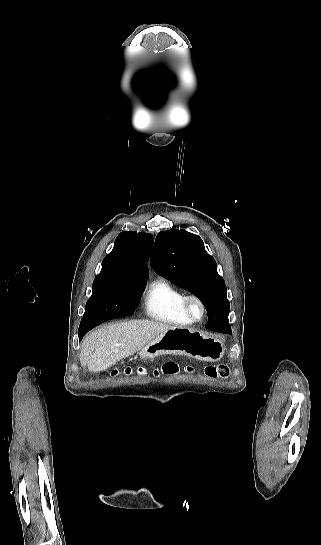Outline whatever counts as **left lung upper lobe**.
I'll list each match as a JSON object with an SVG mask.
<instances>
[{"label": "left lung upper lobe", "instance_id": "obj_1", "mask_svg": "<svg viewBox=\"0 0 321 545\" xmlns=\"http://www.w3.org/2000/svg\"><path fill=\"white\" fill-rule=\"evenodd\" d=\"M150 263L159 275L198 297L206 310L229 314L225 282L198 235L176 229L160 232Z\"/></svg>", "mask_w": 321, "mask_h": 545}]
</instances>
